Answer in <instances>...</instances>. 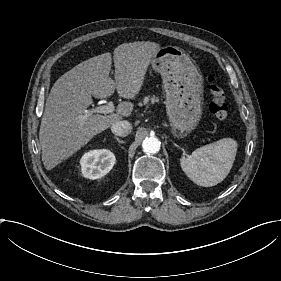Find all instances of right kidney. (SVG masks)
Here are the masks:
<instances>
[{
	"label": "right kidney",
	"instance_id": "right-kidney-1",
	"mask_svg": "<svg viewBox=\"0 0 281 281\" xmlns=\"http://www.w3.org/2000/svg\"><path fill=\"white\" fill-rule=\"evenodd\" d=\"M116 161L115 154L109 149H90L79 158L83 177L98 179L105 176Z\"/></svg>",
	"mask_w": 281,
	"mask_h": 281
}]
</instances>
